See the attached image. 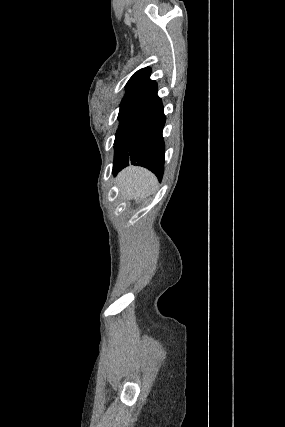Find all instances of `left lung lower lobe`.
<instances>
[{"label":"left lung lower lobe","instance_id":"left-lung-lower-lobe-1","mask_svg":"<svg viewBox=\"0 0 285 427\" xmlns=\"http://www.w3.org/2000/svg\"><path fill=\"white\" fill-rule=\"evenodd\" d=\"M165 121L162 101L156 95L119 137L112 173L117 174L132 164L149 169L160 180L164 172L162 131Z\"/></svg>","mask_w":285,"mask_h":427}]
</instances>
